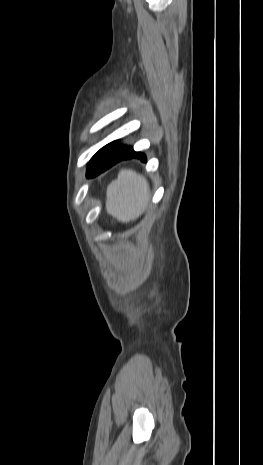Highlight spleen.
<instances>
[{"label":"spleen","mask_w":263,"mask_h":465,"mask_svg":"<svg viewBox=\"0 0 263 465\" xmlns=\"http://www.w3.org/2000/svg\"><path fill=\"white\" fill-rule=\"evenodd\" d=\"M149 199V186L144 177L132 170H121L107 188V212L121 222L136 219Z\"/></svg>","instance_id":"1"}]
</instances>
